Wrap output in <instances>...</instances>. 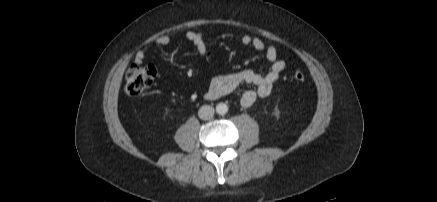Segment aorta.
<instances>
[{"instance_id": "1", "label": "aorta", "mask_w": 437, "mask_h": 202, "mask_svg": "<svg viewBox=\"0 0 437 202\" xmlns=\"http://www.w3.org/2000/svg\"><path fill=\"white\" fill-rule=\"evenodd\" d=\"M216 112L219 115H225L228 112V106L225 103H218L216 105Z\"/></svg>"}]
</instances>
